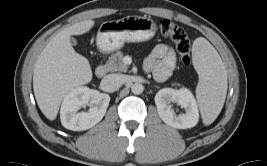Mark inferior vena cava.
Here are the masks:
<instances>
[{
  "instance_id": "1",
  "label": "inferior vena cava",
  "mask_w": 267,
  "mask_h": 166,
  "mask_svg": "<svg viewBox=\"0 0 267 166\" xmlns=\"http://www.w3.org/2000/svg\"><path fill=\"white\" fill-rule=\"evenodd\" d=\"M125 82L122 74H108L101 80V88L105 92L118 90Z\"/></svg>"
}]
</instances>
